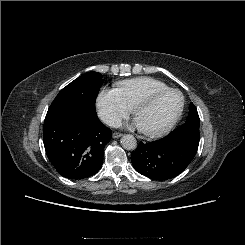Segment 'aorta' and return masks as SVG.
<instances>
[{"instance_id":"1","label":"aorta","mask_w":245,"mask_h":245,"mask_svg":"<svg viewBox=\"0 0 245 245\" xmlns=\"http://www.w3.org/2000/svg\"><path fill=\"white\" fill-rule=\"evenodd\" d=\"M120 142L122 147L126 150H134L137 147V141L131 134L123 135Z\"/></svg>"}]
</instances>
